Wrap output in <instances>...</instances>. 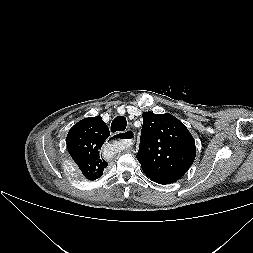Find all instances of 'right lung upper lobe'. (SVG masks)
<instances>
[{"label":"right lung upper lobe","mask_w":253,"mask_h":253,"mask_svg":"<svg viewBox=\"0 0 253 253\" xmlns=\"http://www.w3.org/2000/svg\"><path fill=\"white\" fill-rule=\"evenodd\" d=\"M109 136V128L99 116L82 119L67 135V149L82 174L89 180L101 177L108 166L100 156V150Z\"/></svg>","instance_id":"obj_1"}]
</instances>
